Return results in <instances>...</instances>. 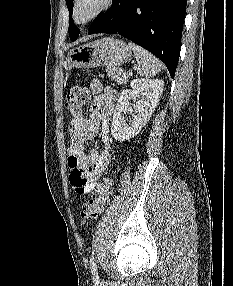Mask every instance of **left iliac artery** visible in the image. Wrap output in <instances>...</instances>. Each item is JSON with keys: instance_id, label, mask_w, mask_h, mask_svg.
I'll return each instance as SVG.
<instances>
[{"instance_id": "obj_1", "label": "left iliac artery", "mask_w": 233, "mask_h": 286, "mask_svg": "<svg viewBox=\"0 0 233 286\" xmlns=\"http://www.w3.org/2000/svg\"><path fill=\"white\" fill-rule=\"evenodd\" d=\"M91 273H92L94 279L98 280L97 264H96L95 259H93L91 262Z\"/></svg>"}]
</instances>
